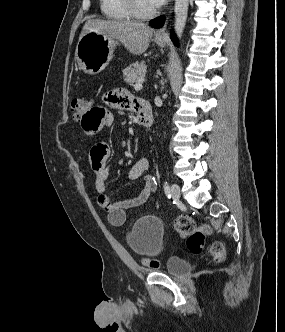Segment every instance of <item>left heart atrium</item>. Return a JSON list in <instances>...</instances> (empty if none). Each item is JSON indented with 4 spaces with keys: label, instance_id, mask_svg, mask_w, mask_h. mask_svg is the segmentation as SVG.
Masks as SVG:
<instances>
[{
    "label": "left heart atrium",
    "instance_id": "39dd6f15",
    "mask_svg": "<svg viewBox=\"0 0 285 332\" xmlns=\"http://www.w3.org/2000/svg\"><path fill=\"white\" fill-rule=\"evenodd\" d=\"M150 2L154 8H158L161 5H163L166 2V0H150Z\"/></svg>",
    "mask_w": 285,
    "mask_h": 332
}]
</instances>
